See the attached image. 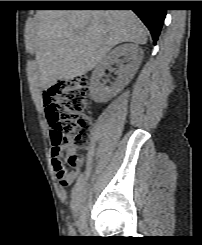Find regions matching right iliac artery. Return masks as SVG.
Masks as SVG:
<instances>
[{"instance_id": "1", "label": "right iliac artery", "mask_w": 202, "mask_h": 245, "mask_svg": "<svg viewBox=\"0 0 202 245\" xmlns=\"http://www.w3.org/2000/svg\"><path fill=\"white\" fill-rule=\"evenodd\" d=\"M69 230H70L71 235H73V236L76 235L75 229L73 228L72 225L69 226Z\"/></svg>"}]
</instances>
